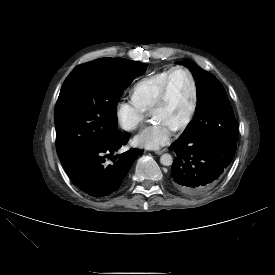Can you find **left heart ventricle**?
<instances>
[{
	"mask_svg": "<svg viewBox=\"0 0 275 275\" xmlns=\"http://www.w3.org/2000/svg\"><path fill=\"white\" fill-rule=\"evenodd\" d=\"M192 103L189 78L183 71H176L169 82L165 104L151 112L154 120H161L175 129L187 116Z\"/></svg>",
	"mask_w": 275,
	"mask_h": 275,
	"instance_id": "1",
	"label": "left heart ventricle"
}]
</instances>
